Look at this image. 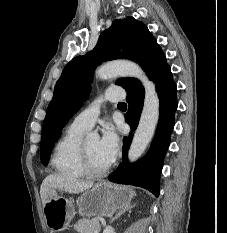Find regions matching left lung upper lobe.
I'll return each instance as SVG.
<instances>
[{"instance_id":"obj_1","label":"left lung upper lobe","mask_w":227,"mask_h":233,"mask_svg":"<svg viewBox=\"0 0 227 233\" xmlns=\"http://www.w3.org/2000/svg\"><path fill=\"white\" fill-rule=\"evenodd\" d=\"M130 59L137 62L153 80L169 65L156 39L148 28L133 17L115 20L100 34L93 51L73 58L58 79L43 123L40 156L49 160L62 128L88 98L94 70L102 61ZM115 84L127 92L144 89L135 78H120Z\"/></svg>"}]
</instances>
